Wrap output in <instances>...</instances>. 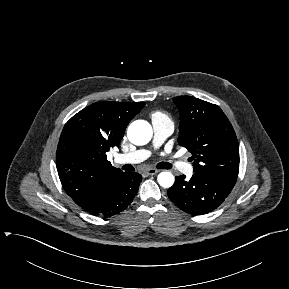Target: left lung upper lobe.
Masks as SVG:
<instances>
[{
	"mask_svg": "<svg viewBox=\"0 0 289 289\" xmlns=\"http://www.w3.org/2000/svg\"><path fill=\"white\" fill-rule=\"evenodd\" d=\"M180 112L178 143L193 155L194 172L234 186L239 147L228 118L215 104L191 96L173 98Z\"/></svg>",
	"mask_w": 289,
	"mask_h": 289,
	"instance_id": "5c2ea615",
	"label": "left lung upper lobe"
}]
</instances>
